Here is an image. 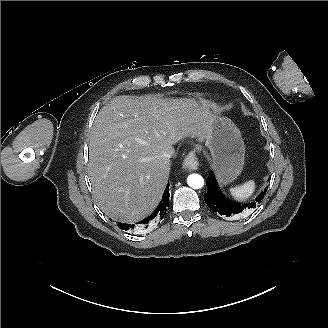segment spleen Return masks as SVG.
<instances>
[{
	"instance_id": "obj_1",
	"label": "spleen",
	"mask_w": 328,
	"mask_h": 328,
	"mask_svg": "<svg viewBox=\"0 0 328 328\" xmlns=\"http://www.w3.org/2000/svg\"><path fill=\"white\" fill-rule=\"evenodd\" d=\"M253 189L254 182L250 180L231 188V192L237 199L244 200L252 194Z\"/></svg>"
}]
</instances>
